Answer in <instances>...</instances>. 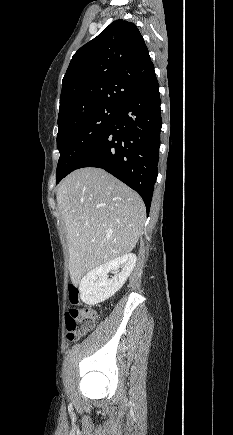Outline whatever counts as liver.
<instances>
[{"label": "liver", "instance_id": "6515ba94", "mask_svg": "<svg viewBox=\"0 0 233 435\" xmlns=\"http://www.w3.org/2000/svg\"><path fill=\"white\" fill-rule=\"evenodd\" d=\"M73 283L88 271L133 250L145 222L139 194L100 168L69 174L57 190Z\"/></svg>", "mask_w": 233, "mask_h": 435}]
</instances>
